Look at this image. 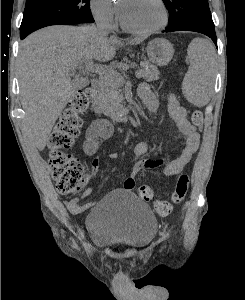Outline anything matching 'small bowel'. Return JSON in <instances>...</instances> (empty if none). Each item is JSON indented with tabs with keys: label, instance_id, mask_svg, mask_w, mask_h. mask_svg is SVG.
I'll return each instance as SVG.
<instances>
[{
	"label": "small bowel",
	"instance_id": "obj_1",
	"mask_svg": "<svg viewBox=\"0 0 245 300\" xmlns=\"http://www.w3.org/2000/svg\"><path fill=\"white\" fill-rule=\"evenodd\" d=\"M139 95L150 111H155L158 108L159 99L147 85L140 86ZM165 98L168 103V111L171 118L176 123L179 131L184 135V148L178 157L171 160L142 159L147 153L149 145L145 141L137 143L133 149L130 175L123 183V188L127 191L133 190L136 177L141 171L146 169L162 167V172L165 177L179 175L199 148L200 134L197 127L188 120L185 108L180 105L174 94L169 93ZM112 134L113 126L110 121L107 119H96L93 121L85 132V140L83 143L84 153L88 156L95 155L101 143L110 138ZM108 156L111 159H118L120 157V155L115 152L109 153ZM98 168L99 159L95 158L88 179H93L96 176ZM89 194L90 190H86L84 195L88 196ZM66 206L72 214H80L86 211L91 206V203L80 204L78 200L72 199L66 202Z\"/></svg>",
	"mask_w": 245,
	"mask_h": 300
}]
</instances>
